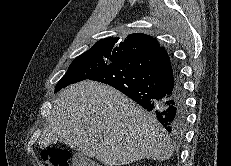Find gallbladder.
<instances>
[{"instance_id": "obj_1", "label": "gallbladder", "mask_w": 231, "mask_h": 166, "mask_svg": "<svg viewBox=\"0 0 231 166\" xmlns=\"http://www.w3.org/2000/svg\"><path fill=\"white\" fill-rule=\"evenodd\" d=\"M72 166H92V162L87 157L75 155L73 157Z\"/></svg>"}]
</instances>
